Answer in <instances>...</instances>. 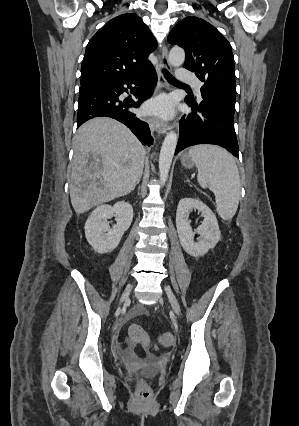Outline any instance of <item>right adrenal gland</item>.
Masks as SVG:
<instances>
[{"label":"right adrenal gland","instance_id":"obj_1","mask_svg":"<svg viewBox=\"0 0 299 426\" xmlns=\"http://www.w3.org/2000/svg\"><path fill=\"white\" fill-rule=\"evenodd\" d=\"M140 180H141V178H139V179L137 180L136 185H138V184L140 183ZM136 185H135V186H136Z\"/></svg>","mask_w":299,"mask_h":426}]
</instances>
